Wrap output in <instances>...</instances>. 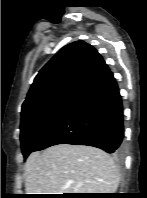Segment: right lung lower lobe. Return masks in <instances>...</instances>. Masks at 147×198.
Listing matches in <instances>:
<instances>
[{
  "label": "right lung lower lobe",
  "mask_w": 147,
  "mask_h": 198,
  "mask_svg": "<svg viewBox=\"0 0 147 198\" xmlns=\"http://www.w3.org/2000/svg\"><path fill=\"white\" fill-rule=\"evenodd\" d=\"M123 137L122 100L116 80L109 72L74 103L34 151L57 144H77L94 146L120 156Z\"/></svg>",
  "instance_id": "obj_1"
}]
</instances>
